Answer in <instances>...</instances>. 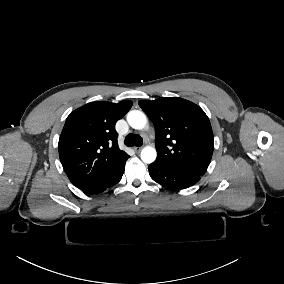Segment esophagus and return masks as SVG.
I'll list each match as a JSON object with an SVG mask.
<instances>
[{
    "label": "esophagus",
    "mask_w": 284,
    "mask_h": 284,
    "mask_svg": "<svg viewBox=\"0 0 284 284\" xmlns=\"http://www.w3.org/2000/svg\"><path fill=\"white\" fill-rule=\"evenodd\" d=\"M133 149H134V151L136 153H139L141 151L142 147L141 146H136V147H133Z\"/></svg>",
    "instance_id": "esophagus-1"
}]
</instances>
